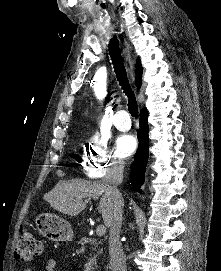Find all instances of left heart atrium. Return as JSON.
Returning <instances> with one entry per match:
<instances>
[{
	"label": "left heart atrium",
	"instance_id": "left-heart-atrium-1",
	"mask_svg": "<svg viewBox=\"0 0 221 271\" xmlns=\"http://www.w3.org/2000/svg\"><path fill=\"white\" fill-rule=\"evenodd\" d=\"M170 94H176V92H171ZM117 145L119 153L131 154L136 147V136L133 134L120 135L118 137Z\"/></svg>",
	"mask_w": 221,
	"mask_h": 271
}]
</instances>
